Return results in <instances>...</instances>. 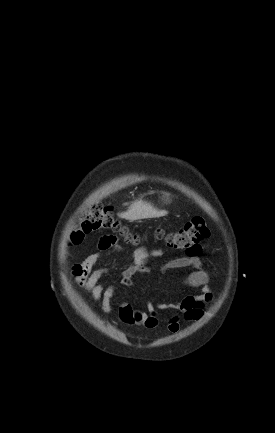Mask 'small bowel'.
Returning <instances> with one entry per match:
<instances>
[{
    "instance_id": "obj_1",
    "label": "small bowel",
    "mask_w": 275,
    "mask_h": 433,
    "mask_svg": "<svg viewBox=\"0 0 275 433\" xmlns=\"http://www.w3.org/2000/svg\"><path fill=\"white\" fill-rule=\"evenodd\" d=\"M99 251L88 255L81 263L73 267V277L76 283L83 287L95 302L100 303L101 310L105 314L112 312V299L115 294V287L100 282L101 277L109 271L108 267H95L101 259L103 252L119 251L120 247L116 243L114 236H104L99 244ZM201 246L196 247L194 255L176 257L164 266L165 269H190L191 272L185 277L184 284L199 291L196 294L184 297L177 304H159L157 306L149 303L146 310L134 309L129 304L123 302L119 305L118 315L122 323L128 326H143L147 329H154L158 326V311H175L167 321L168 330L176 333L180 327L179 313L183 314L186 321L198 320L203 307L213 298L210 289L209 275L204 269V264L199 255ZM162 250L147 249L144 246L137 247L132 252V264L122 270L120 283L129 287L132 285V277L136 273L148 272L150 260L160 257Z\"/></svg>"
}]
</instances>
